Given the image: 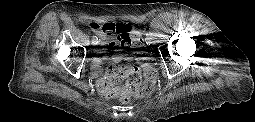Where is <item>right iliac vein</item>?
I'll return each instance as SVG.
<instances>
[{
    "instance_id": "obj_1",
    "label": "right iliac vein",
    "mask_w": 255,
    "mask_h": 122,
    "mask_svg": "<svg viewBox=\"0 0 255 122\" xmlns=\"http://www.w3.org/2000/svg\"><path fill=\"white\" fill-rule=\"evenodd\" d=\"M97 44H98V41L97 42H92L93 46H96Z\"/></svg>"
}]
</instances>
